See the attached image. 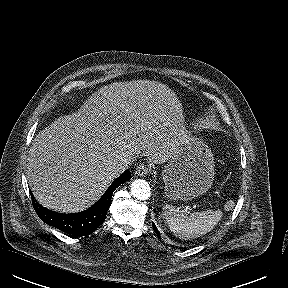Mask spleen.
<instances>
[{"label":"spleen","instance_id":"1","mask_svg":"<svg viewBox=\"0 0 288 288\" xmlns=\"http://www.w3.org/2000/svg\"><path fill=\"white\" fill-rule=\"evenodd\" d=\"M169 229L182 240L194 239L210 232L222 217L220 210H206L186 214L173 205L163 207Z\"/></svg>","mask_w":288,"mask_h":288}]
</instances>
